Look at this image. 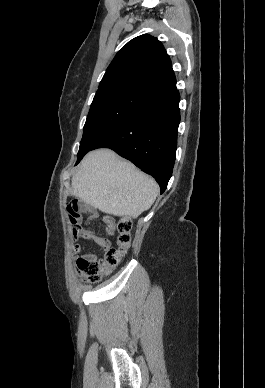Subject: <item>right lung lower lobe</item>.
I'll return each instance as SVG.
<instances>
[{
	"label": "right lung lower lobe",
	"instance_id": "right-lung-lower-lobe-1",
	"mask_svg": "<svg viewBox=\"0 0 265 388\" xmlns=\"http://www.w3.org/2000/svg\"><path fill=\"white\" fill-rule=\"evenodd\" d=\"M179 101L176 86L149 97L129 118L101 138L92 150L102 147L114 150L152 175L163 193L175 162Z\"/></svg>",
	"mask_w": 265,
	"mask_h": 388
}]
</instances>
